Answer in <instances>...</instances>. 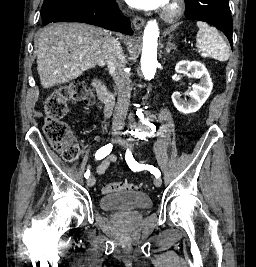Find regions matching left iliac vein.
Returning <instances> with one entry per match:
<instances>
[{"label": "left iliac vein", "instance_id": "1", "mask_svg": "<svg viewBox=\"0 0 256 267\" xmlns=\"http://www.w3.org/2000/svg\"><path fill=\"white\" fill-rule=\"evenodd\" d=\"M118 143H119L120 145H122L125 149L131 148V145H130V143H129L127 140L119 139V140H118ZM154 185H155L156 187H160V186L162 185V180H161L159 177H156V178L154 179Z\"/></svg>", "mask_w": 256, "mask_h": 267}]
</instances>
